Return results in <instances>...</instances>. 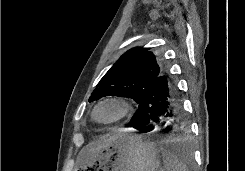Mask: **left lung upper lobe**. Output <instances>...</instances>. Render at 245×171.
Instances as JSON below:
<instances>
[{
    "label": "left lung upper lobe",
    "instance_id": "left-lung-upper-lobe-1",
    "mask_svg": "<svg viewBox=\"0 0 245 171\" xmlns=\"http://www.w3.org/2000/svg\"><path fill=\"white\" fill-rule=\"evenodd\" d=\"M150 48L135 47L123 54L100 80L89 102L121 96L139 102L144 89L164 72Z\"/></svg>",
    "mask_w": 245,
    "mask_h": 171
}]
</instances>
